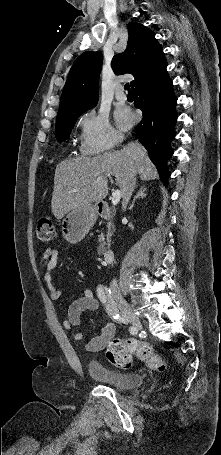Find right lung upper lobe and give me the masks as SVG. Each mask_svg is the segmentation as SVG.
I'll return each instance as SVG.
<instances>
[{"mask_svg": "<svg viewBox=\"0 0 221 455\" xmlns=\"http://www.w3.org/2000/svg\"><path fill=\"white\" fill-rule=\"evenodd\" d=\"M128 45L124 52L113 57L111 66L115 74L130 73L135 80L131 87L162 53V47L155 34L147 27L136 22L127 26ZM103 55L100 51L81 54L70 69L59 105L57 117L84 112L95 106L98 101V84Z\"/></svg>", "mask_w": 221, "mask_h": 455, "instance_id": "right-lung-upper-lobe-1", "label": "right lung upper lobe"}]
</instances>
